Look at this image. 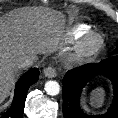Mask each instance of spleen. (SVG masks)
<instances>
[{
  "label": "spleen",
  "instance_id": "3e777b00",
  "mask_svg": "<svg viewBox=\"0 0 118 118\" xmlns=\"http://www.w3.org/2000/svg\"><path fill=\"white\" fill-rule=\"evenodd\" d=\"M105 100V90L102 87H96L90 93V106L100 108Z\"/></svg>",
  "mask_w": 118,
  "mask_h": 118
}]
</instances>
